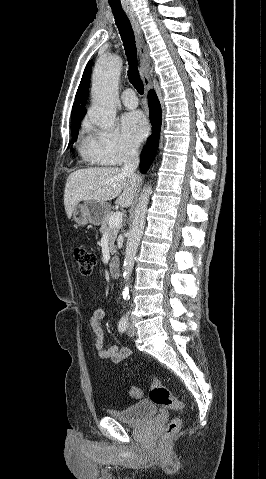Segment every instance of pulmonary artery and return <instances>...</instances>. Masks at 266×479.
Returning <instances> with one entry per match:
<instances>
[{"instance_id": "e3ab8cb5", "label": "pulmonary artery", "mask_w": 266, "mask_h": 479, "mask_svg": "<svg viewBox=\"0 0 266 479\" xmlns=\"http://www.w3.org/2000/svg\"><path fill=\"white\" fill-rule=\"evenodd\" d=\"M121 100H122V103L127 108H135L138 105V99H137L136 93L131 88L124 90V92L121 95Z\"/></svg>"}]
</instances>
